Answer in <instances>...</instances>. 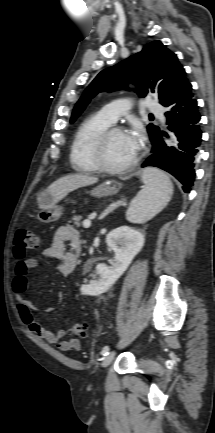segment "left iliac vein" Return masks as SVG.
<instances>
[{
  "label": "left iliac vein",
  "mask_w": 215,
  "mask_h": 433,
  "mask_svg": "<svg viewBox=\"0 0 215 433\" xmlns=\"http://www.w3.org/2000/svg\"><path fill=\"white\" fill-rule=\"evenodd\" d=\"M114 356H115L114 351L109 352L103 359L102 367L107 368L112 363Z\"/></svg>",
  "instance_id": "left-iliac-vein-1"
}]
</instances>
